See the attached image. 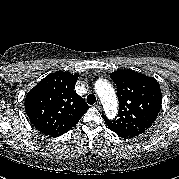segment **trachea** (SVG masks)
Masks as SVG:
<instances>
[{
  "instance_id": "trachea-1",
  "label": "trachea",
  "mask_w": 179,
  "mask_h": 179,
  "mask_svg": "<svg viewBox=\"0 0 179 179\" xmlns=\"http://www.w3.org/2000/svg\"><path fill=\"white\" fill-rule=\"evenodd\" d=\"M87 102H88V104L93 105V104L96 102V97H95V95L89 94V95L87 96Z\"/></svg>"
}]
</instances>
